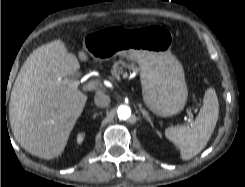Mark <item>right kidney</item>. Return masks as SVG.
I'll use <instances>...</instances> for the list:
<instances>
[{
	"label": "right kidney",
	"instance_id": "right-kidney-1",
	"mask_svg": "<svg viewBox=\"0 0 245 187\" xmlns=\"http://www.w3.org/2000/svg\"><path fill=\"white\" fill-rule=\"evenodd\" d=\"M83 139H84V134H83V133H79V134L77 135V143H78V144H81L82 141H83Z\"/></svg>",
	"mask_w": 245,
	"mask_h": 187
}]
</instances>
